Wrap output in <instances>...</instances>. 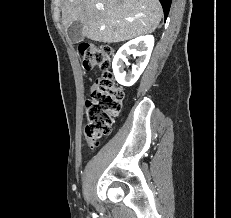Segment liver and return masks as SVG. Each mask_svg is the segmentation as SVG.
I'll return each mask as SVG.
<instances>
[{
  "label": "liver",
  "mask_w": 231,
  "mask_h": 218,
  "mask_svg": "<svg viewBox=\"0 0 231 218\" xmlns=\"http://www.w3.org/2000/svg\"><path fill=\"white\" fill-rule=\"evenodd\" d=\"M162 15L158 0H64L62 7L66 31L80 21L83 37L103 43L127 41L152 33Z\"/></svg>",
  "instance_id": "liver-1"
}]
</instances>
